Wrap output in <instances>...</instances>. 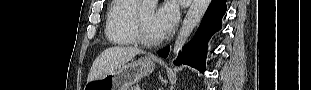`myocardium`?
Listing matches in <instances>:
<instances>
[{
	"label": "myocardium",
	"instance_id": "obj_1",
	"mask_svg": "<svg viewBox=\"0 0 311 90\" xmlns=\"http://www.w3.org/2000/svg\"><path fill=\"white\" fill-rule=\"evenodd\" d=\"M134 33L137 43L144 46H155L164 40V35L158 38H150L146 35L143 24L141 22L140 13L136 12L133 20Z\"/></svg>",
	"mask_w": 311,
	"mask_h": 90
}]
</instances>
